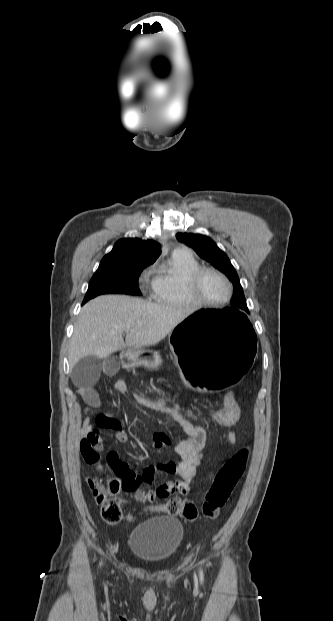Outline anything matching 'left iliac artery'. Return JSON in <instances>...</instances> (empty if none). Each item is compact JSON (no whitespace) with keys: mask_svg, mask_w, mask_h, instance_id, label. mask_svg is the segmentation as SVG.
<instances>
[{"mask_svg":"<svg viewBox=\"0 0 333 621\" xmlns=\"http://www.w3.org/2000/svg\"><path fill=\"white\" fill-rule=\"evenodd\" d=\"M200 581H201L202 583H203V581H204V574H203V571H202V570H200Z\"/></svg>","mask_w":333,"mask_h":621,"instance_id":"obj_1","label":"left iliac artery"}]
</instances>
